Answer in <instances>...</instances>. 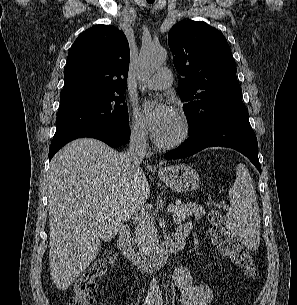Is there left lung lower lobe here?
Returning <instances> with one entry per match:
<instances>
[{"mask_svg": "<svg viewBox=\"0 0 297 305\" xmlns=\"http://www.w3.org/2000/svg\"><path fill=\"white\" fill-rule=\"evenodd\" d=\"M228 147L244 154L261 173L256 135L249 123L243 102L230 104L189 129V138L175 150L167 152V160L185 158L207 147Z\"/></svg>", "mask_w": 297, "mask_h": 305, "instance_id": "1", "label": "left lung lower lobe"}]
</instances>
